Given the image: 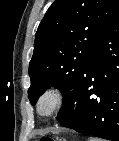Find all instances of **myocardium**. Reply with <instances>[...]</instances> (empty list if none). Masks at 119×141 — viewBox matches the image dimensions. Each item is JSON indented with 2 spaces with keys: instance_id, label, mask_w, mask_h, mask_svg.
<instances>
[{
  "instance_id": "myocardium-1",
  "label": "myocardium",
  "mask_w": 119,
  "mask_h": 141,
  "mask_svg": "<svg viewBox=\"0 0 119 141\" xmlns=\"http://www.w3.org/2000/svg\"><path fill=\"white\" fill-rule=\"evenodd\" d=\"M64 100V93L61 89L49 87L38 96L35 105L36 112L42 118H51L62 109Z\"/></svg>"
}]
</instances>
